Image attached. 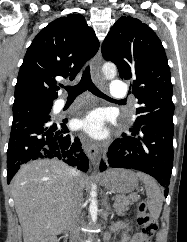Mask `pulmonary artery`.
I'll list each match as a JSON object with an SVG mask.
<instances>
[{"label":"pulmonary artery","mask_w":187,"mask_h":242,"mask_svg":"<svg viewBox=\"0 0 187 242\" xmlns=\"http://www.w3.org/2000/svg\"><path fill=\"white\" fill-rule=\"evenodd\" d=\"M110 92L114 98H124L127 92L126 85L121 81L114 80L111 83Z\"/></svg>","instance_id":"pulmonary-artery-1"}]
</instances>
